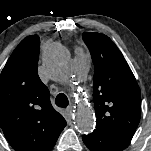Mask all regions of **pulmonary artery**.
Segmentation results:
<instances>
[{"instance_id": "obj_1", "label": "pulmonary artery", "mask_w": 151, "mask_h": 151, "mask_svg": "<svg viewBox=\"0 0 151 151\" xmlns=\"http://www.w3.org/2000/svg\"><path fill=\"white\" fill-rule=\"evenodd\" d=\"M89 64V55L82 49H77L74 57V70L78 78L85 77Z\"/></svg>"}]
</instances>
